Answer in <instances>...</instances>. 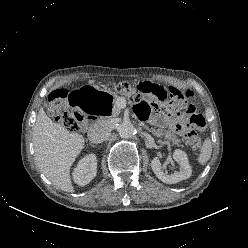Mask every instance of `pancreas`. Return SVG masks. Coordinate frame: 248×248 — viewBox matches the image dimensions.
Segmentation results:
<instances>
[{
    "mask_svg": "<svg viewBox=\"0 0 248 248\" xmlns=\"http://www.w3.org/2000/svg\"><path fill=\"white\" fill-rule=\"evenodd\" d=\"M119 113H120V108L117 106L116 102H114L112 116L115 117ZM145 129L148 130L149 132H152V134L156 137L164 138L177 145L181 143V141L171 131H167L163 129L156 130L154 128H148L147 126H145Z\"/></svg>",
    "mask_w": 248,
    "mask_h": 248,
    "instance_id": "pancreas-1",
    "label": "pancreas"
}]
</instances>
